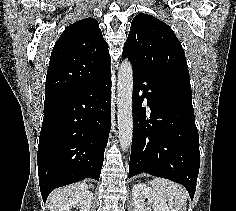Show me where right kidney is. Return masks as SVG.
I'll use <instances>...</instances> for the list:
<instances>
[{
    "mask_svg": "<svg viewBox=\"0 0 236 211\" xmlns=\"http://www.w3.org/2000/svg\"><path fill=\"white\" fill-rule=\"evenodd\" d=\"M92 200L93 193L90 191H85L62 205L59 211H71L72 208H78L79 211H90Z\"/></svg>",
    "mask_w": 236,
    "mask_h": 211,
    "instance_id": "ca27d5eb",
    "label": "right kidney"
}]
</instances>
